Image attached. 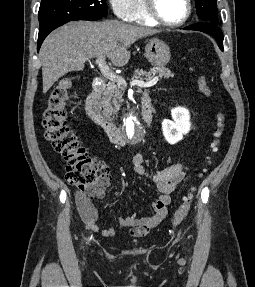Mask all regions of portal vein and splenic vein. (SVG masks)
Segmentation results:
<instances>
[{
  "mask_svg": "<svg viewBox=\"0 0 255 287\" xmlns=\"http://www.w3.org/2000/svg\"><path fill=\"white\" fill-rule=\"evenodd\" d=\"M80 60H83V62H87L88 58H80ZM106 56H99L97 60H95V64H97L98 68H100L101 74H103L104 78H107V80H111V82H117L118 86H123L126 82L121 78V76H116V74H113L111 70H109L108 66H106ZM159 80V76H155L153 80H149V82H141V80H132L130 82V86H138V88H152V86H155Z\"/></svg>",
  "mask_w": 255,
  "mask_h": 287,
  "instance_id": "1",
  "label": "portal vein and splenic vein"
}]
</instances>
